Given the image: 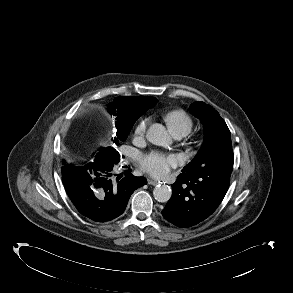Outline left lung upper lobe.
I'll return each instance as SVG.
<instances>
[{"label": "left lung upper lobe", "mask_w": 293, "mask_h": 293, "mask_svg": "<svg viewBox=\"0 0 293 293\" xmlns=\"http://www.w3.org/2000/svg\"><path fill=\"white\" fill-rule=\"evenodd\" d=\"M190 111L202 121L205 139L198 154L182 172L196 173L207 170L232 172L234 155L230 130L225 121L212 106L204 102H194L190 106Z\"/></svg>", "instance_id": "1"}]
</instances>
